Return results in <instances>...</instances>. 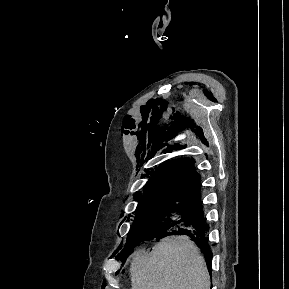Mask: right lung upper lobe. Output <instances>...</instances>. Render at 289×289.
<instances>
[{"instance_id":"obj_1","label":"right lung upper lobe","mask_w":289,"mask_h":289,"mask_svg":"<svg viewBox=\"0 0 289 289\" xmlns=\"http://www.w3.org/2000/svg\"><path fill=\"white\" fill-rule=\"evenodd\" d=\"M150 175L145 189L139 193L142 199L162 195L199 196L200 176L191 159L167 161Z\"/></svg>"}]
</instances>
